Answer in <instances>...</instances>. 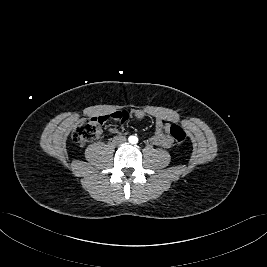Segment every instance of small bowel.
<instances>
[{
	"label": "small bowel",
	"instance_id": "obj_1",
	"mask_svg": "<svg viewBox=\"0 0 267 267\" xmlns=\"http://www.w3.org/2000/svg\"><path fill=\"white\" fill-rule=\"evenodd\" d=\"M117 112H119V111L109 113L105 116L110 117L112 115H116ZM125 113L127 114V119L129 117H133V118L141 121L146 117V112L144 110H141V109H136V110H132L130 113H128V112H125ZM153 116L155 118V132H154V135L150 139L151 143L154 145L160 146V147L170 148L174 143V139L170 135V126L172 125L171 124V121H172L171 118L168 115H161V114H156ZM116 120H118V119H116ZM122 131H123V129H119L118 127H111L110 128V132L113 134H117V133H120Z\"/></svg>",
	"mask_w": 267,
	"mask_h": 267
}]
</instances>
